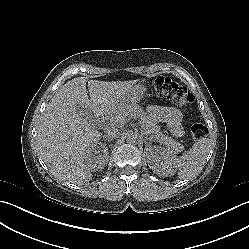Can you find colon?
I'll use <instances>...</instances> for the list:
<instances>
[{
    "mask_svg": "<svg viewBox=\"0 0 249 249\" xmlns=\"http://www.w3.org/2000/svg\"><path fill=\"white\" fill-rule=\"evenodd\" d=\"M153 86L158 93L180 107H186L194 102V95L185 86L169 77H157ZM206 134V128L201 124H195L191 128V138L193 140L200 139Z\"/></svg>",
    "mask_w": 249,
    "mask_h": 249,
    "instance_id": "5ec220e1",
    "label": "colon"
}]
</instances>
